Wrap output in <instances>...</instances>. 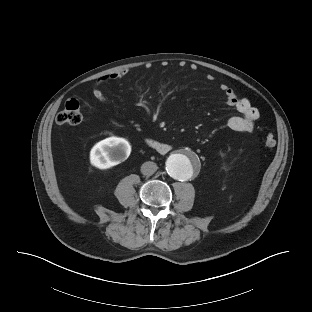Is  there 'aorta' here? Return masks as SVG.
Wrapping results in <instances>:
<instances>
[{"label": "aorta", "instance_id": "1", "mask_svg": "<svg viewBox=\"0 0 312 312\" xmlns=\"http://www.w3.org/2000/svg\"><path fill=\"white\" fill-rule=\"evenodd\" d=\"M198 164V158L194 154L171 155L166 161V171L174 179L187 180Z\"/></svg>", "mask_w": 312, "mask_h": 312}]
</instances>
